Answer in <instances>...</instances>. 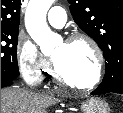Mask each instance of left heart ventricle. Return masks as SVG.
<instances>
[{
    "label": "left heart ventricle",
    "mask_w": 123,
    "mask_h": 113,
    "mask_svg": "<svg viewBox=\"0 0 123 113\" xmlns=\"http://www.w3.org/2000/svg\"><path fill=\"white\" fill-rule=\"evenodd\" d=\"M52 58L68 79L79 84L88 83L95 75V54L84 41L61 43L55 49Z\"/></svg>",
    "instance_id": "b2bd125f"
}]
</instances>
